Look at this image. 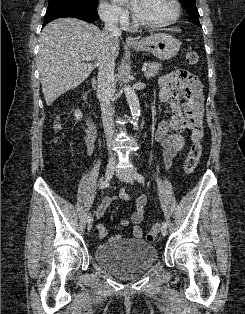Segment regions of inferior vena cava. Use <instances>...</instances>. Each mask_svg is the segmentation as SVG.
<instances>
[{"instance_id":"obj_1","label":"inferior vena cava","mask_w":245,"mask_h":314,"mask_svg":"<svg viewBox=\"0 0 245 314\" xmlns=\"http://www.w3.org/2000/svg\"><path fill=\"white\" fill-rule=\"evenodd\" d=\"M118 15L110 13L105 17V31L109 33L111 38L121 36L122 32L117 25ZM98 88L97 95L99 97L104 132L106 135L107 146L110 152V160L115 162V154L111 152L113 146V136L115 133L113 124L114 110L111 101L114 100L115 94V77H114V61L106 60L99 65L98 71Z\"/></svg>"}]
</instances>
